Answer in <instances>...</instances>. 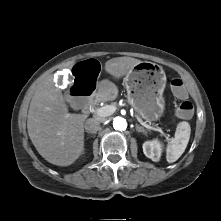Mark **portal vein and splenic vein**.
<instances>
[{
    "label": "portal vein and splenic vein",
    "mask_w": 221,
    "mask_h": 221,
    "mask_svg": "<svg viewBox=\"0 0 221 221\" xmlns=\"http://www.w3.org/2000/svg\"><path fill=\"white\" fill-rule=\"evenodd\" d=\"M116 111V107L114 105H106L100 108H97L95 110V114L99 117H107L113 114ZM137 120L140 122L141 125L146 127L147 129H152L154 131H158L160 133H163L162 129L159 127H151L147 125L145 122H143L140 118L137 117Z\"/></svg>",
    "instance_id": "obj_1"
}]
</instances>
